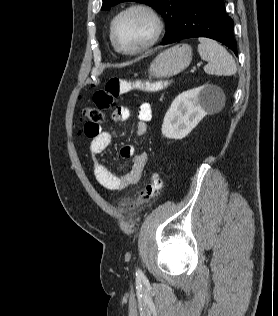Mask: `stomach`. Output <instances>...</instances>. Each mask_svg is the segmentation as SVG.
<instances>
[{
    "label": "stomach",
    "mask_w": 278,
    "mask_h": 316,
    "mask_svg": "<svg viewBox=\"0 0 278 316\" xmlns=\"http://www.w3.org/2000/svg\"><path fill=\"white\" fill-rule=\"evenodd\" d=\"M192 59L189 45L174 46L160 53L151 63L150 75L156 78L174 76L188 67Z\"/></svg>",
    "instance_id": "0dacf381"
}]
</instances>
